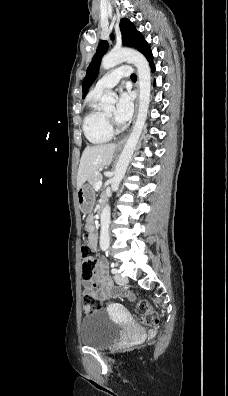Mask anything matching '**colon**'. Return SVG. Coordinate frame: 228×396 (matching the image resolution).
I'll return each mask as SVG.
<instances>
[{
  "label": "colon",
  "mask_w": 228,
  "mask_h": 396,
  "mask_svg": "<svg viewBox=\"0 0 228 396\" xmlns=\"http://www.w3.org/2000/svg\"><path fill=\"white\" fill-rule=\"evenodd\" d=\"M89 234L86 233L83 236L81 245V256H82V278L85 281H90L93 278V273L97 265V260L90 249L89 245ZM83 311L85 313H91L100 308V302L91 294L86 293L83 296ZM136 312L140 317L141 322L150 328V337L156 336L159 328V316L154 311L150 304L146 300H141L135 305Z\"/></svg>",
  "instance_id": "5ec220e1"
}]
</instances>
